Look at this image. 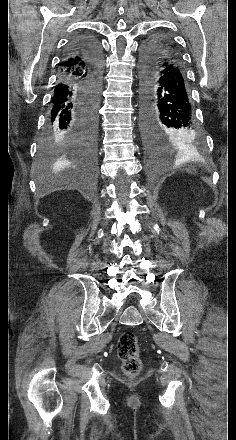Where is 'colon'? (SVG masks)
<instances>
[{
  "label": "colon",
  "mask_w": 236,
  "mask_h": 440,
  "mask_svg": "<svg viewBox=\"0 0 236 440\" xmlns=\"http://www.w3.org/2000/svg\"><path fill=\"white\" fill-rule=\"evenodd\" d=\"M118 355L126 374L134 376L140 372L142 362L139 357L137 340L132 332H125L121 336L118 343Z\"/></svg>",
  "instance_id": "obj_1"
}]
</instances>
